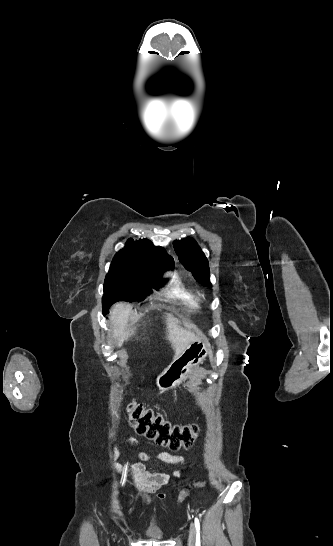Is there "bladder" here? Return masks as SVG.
I'll use <instances>...</instances> for the list:
<instances>
[{
	"mask_svg": "<svg viewBox=\"0 0 333 546\" xmlns=\"http://www.w3.org/2000/svg\"><path fill=\"white\" fill-rule=\"evenodd\" d=\"M145 536L153 540H161L164 537V533L157 527H150L145 530Z\"/></svg>",
	"mask_w": 333,
	"mask_h": 546,
	"instance_id": "31cf9c89",
	"label": "bladder"
}]
</instances>
